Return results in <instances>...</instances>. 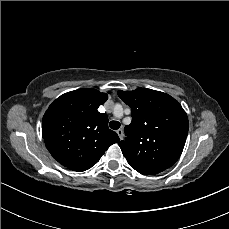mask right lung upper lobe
Listing matches in <instances>:
<instances>
[{
  "instance_id": "1",
  "label": "right lung upper lobe",
  "mask_w": 229,
  "mask_h": 229,
  "mask_svg": "<svg viewBox=\"0 0 229 229\" xmlns=\"http://www.w3.org/2000/svg\"><path fill=\"white\" fill-rule=\"evenodd\" d=\"M106 93L82 88L61 95L43 116L42 136L52 156L73 171H85L120 141L108 128V117L98 107Z\"/></svg>"
}]
</instances>
